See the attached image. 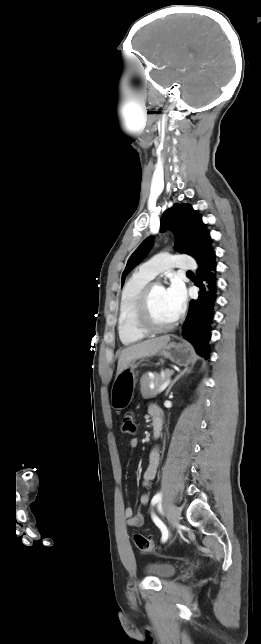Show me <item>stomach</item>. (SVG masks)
Wrapping results in <instances>:
<instances>
[{"label":"stomach","instance_id":"obj_1","mask_svg":"<svg viewBox=\"0 0 261 644\" xmlns=\"http://www.w3.org/2000/svg\"><path fill=\"white\" fill-rule=\"evenodd\" d=\"M158 355L179 366H188L194 360L193 348L187 342H168L158 352ZM137 365L135 360L130 362L116 376L111 388V406L113 409L123 410L131 403L137 381L135 373Z\"/></svg>","mask_w":261,"mask_h":644}]
</instances>
